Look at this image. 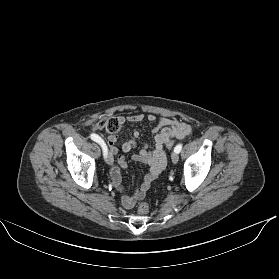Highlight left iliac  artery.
Instances as JSON below:
<instances>
[{
	"instance_id": "1",
	"label": "left iliac artery",
	"mask_w": 279,
	"mask_h": 279,
	"mask_svg": "<svg viewBox=\"0 0 279 279\" xmlns=\"http://www.w3.org/2000/svg\"><path fill=\"white\" fill-rule=\"evenodd\" d=\"M182 149V144H178L175 148H174V152L179 153Z\"/></svg>"
}]
</instances>
